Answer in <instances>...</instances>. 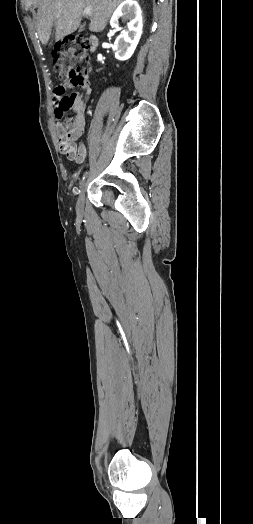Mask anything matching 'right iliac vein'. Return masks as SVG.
Wrapping results in <instances>:
<instances>
[{"label":"right iliac vein","mask_w":253,"mask_h":524,"mask_svg":"<svg viewBox=\"0 0 253 524\" xmlns=\"http://www.w3.org/2000/svg\"><path fill=\"white\" fill-rule=\"evenodd\" d=\"M86 186L87 183L84 181L83 185L80 188L79 196L76 202V212L78 215L83 214Z\"/></svg>","instance_id":"63e3f726"}]
</instances>
